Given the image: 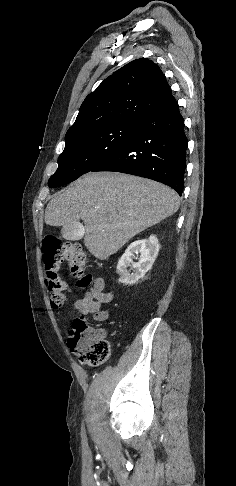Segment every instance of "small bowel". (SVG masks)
I'll use <instances>...</instances> for the list:
<instances>
[{"mask_svg": "<svg viewBox=\"0 0 236 486\" xmlns=\"http://www.w3.org/2000/svg\"><path fill=\"white\" fill-rule=\"evenodd\" d=\"M113 293L106 290L105 282L102 278H96L93 287L87 291L83 297L76 300L75 311L79 315H91L96 322L106 321L110 316V308L102 309L103 305H110L113 300ZM105 337L106 331L99 330Z\"/></svg>", "mask_w": 236, "mask_h": 486, "instance_id": "small-bowel-1", "label": "small bowel"}]
</instances>
